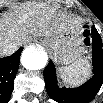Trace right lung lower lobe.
I'll return each mask as SVG.
<instances>
[{
  "label": "right lung lower lobe",
  "mask_w": 103,
  "mask_h": 103,
  "mask_svg": "<svg viewBox=\"0 0 103 103\" xmlns=\"http://www.w3.org/2000/svg\"><path fill=\"white\" fill-rule=\"evenodd\" d=\"M22 50L23 48H20L13 55L0 59V92L2 97L8 98L12 93Z\"/></svg>",
  "instance_id": "98d812e1"
}]
</instances>
